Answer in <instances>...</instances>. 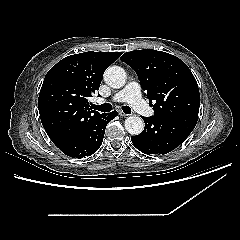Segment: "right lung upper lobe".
Listing matches in <instances>:
<instances>
[{"label":"right lung upper lobe","mask_w":240,"mask_h":240,"mask_svg":"<svg viewBox=\"0 0 240 240\" xmlns=\"http://www.w3.org/2000/svg\"><path fill=\"white\" fill-rule=\"evenodd\" d=\"M120 55L93 51L70 55L48 71L38 108L42 125L55 145L85 132L102 115L89 107L87 99L99 89L105 69Z\"/></svg>","instance_id":"obj_1"}]
</instances>
